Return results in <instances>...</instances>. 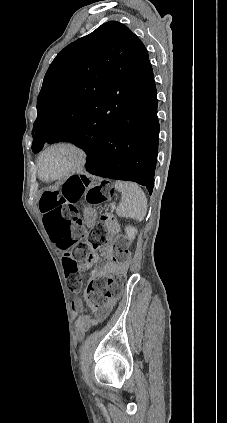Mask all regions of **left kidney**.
<instances>
[{
    "label": "left kidney",
    "mask_w": 227,
    "mask_h": 423,
    "mask_svg": "<svg viewBox=\"0 0 227 423\" xmlns=\"http://www.w3.org/2000/svg\"><path fill=\"white\" fill-rule=\"evenodd\" d=\"M125 231L127 233L126 237H128V239H134L137 233L136 227H132V225H126Z\"/></svg>",
    "instance_id": "obj_1"
}]
</instances>
